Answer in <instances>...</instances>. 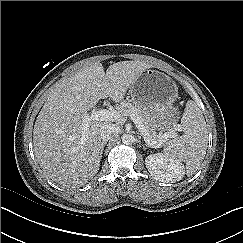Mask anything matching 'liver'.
<instances>
[{
	"label": "liver",
	"instance_id": "liver-1",
	"mask_svg": "<svg viewBox=\"0 0 243 243\" xmlns=\"http://www.w3.org/2000/svg\"><path fill=\"white\" fill-rule=\"evenodd\" d=\"M151 67L142 61H121L105 72L95 62L55 85L33 129L35 157L50 179L74 189L97 174L101 128L111 121L92 120L84 133L83 117L101 99L122 101L141 73Z\"/></svg>",
	"mask_w": 243,
	"mask_h": 243
}]
</instances>
